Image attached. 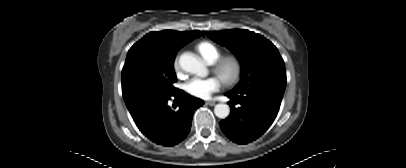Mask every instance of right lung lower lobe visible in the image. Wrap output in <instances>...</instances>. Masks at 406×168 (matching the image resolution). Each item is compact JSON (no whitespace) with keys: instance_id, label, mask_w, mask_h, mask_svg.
Listing matches in <instances>:
<instances>
[{"instance_id":"1","label":"right lung lower lobe","mask_w":406,"mask_h":168,"mask_svg":"<svg viewBox=\"0 0 406 168\" xmlns=\"http://www.w3.org/2000/svg\"><path fill=\"white\" fill-rule=\"evenodd\" d=\"M174 98L172 107L168 101ZM204 101L184 95L177 89L172 95L155 104L131 114L140 131L153 142L163 146H173L188 135L194 111Z\"/></svg>"}]
</instances>
